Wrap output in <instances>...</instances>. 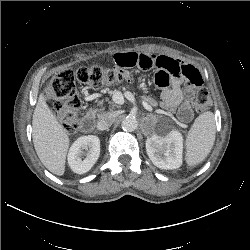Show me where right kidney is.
Returning a JSON list of instances; mask_svg holds the SVG:
<instances>
[{
	"label": "right kidney",
	"instance_id": "ca27d5eb",
	"mask_svg": "<svg viewBox=\"0 0 250 250\" xmlns=\"http://www.w3.org/2000/svg\"><path fill=\"white\" fill-rule=\"evenodd\" d=\"M83 149L87 150L84 154ZM85 158L82 159V156ZM100 155V140L95 135L79 137L70 147L68 164L73 172L83 174L88 172Z\"/></svg>",
	"mask_w": 250,
	"mask_h": 250
}]
</instances>
